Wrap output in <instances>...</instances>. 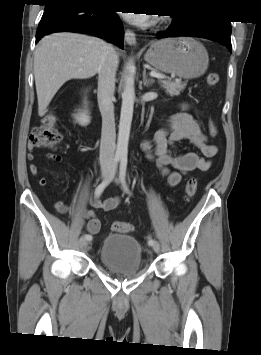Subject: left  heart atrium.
Wrapping results in <instances>:
<instances>
[{
    "mask_svg": "<svg viewBox=\"0 0 261 355\" xmlns=\"http://www.w3.org/2000/svg\"><path fill=\"white\" fill-rule=\"evenodd\" d=\"M123 16L128 22L141 26L150 24L154 19L151 13H123Z\"/></svg>",
    "mask_w": 261,
    "mask_h": 355,
    "instance_id": "left-heart-atrium-1",
    "label": "left heart atrium"
}]
</instances>
